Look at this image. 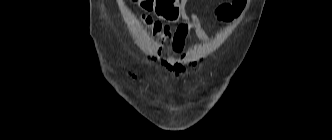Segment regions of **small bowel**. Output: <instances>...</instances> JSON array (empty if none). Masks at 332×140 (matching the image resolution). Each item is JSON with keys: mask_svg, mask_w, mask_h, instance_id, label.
Segmentation results:
<instances>
[{"mask_svg": "<svg viewBox=\"0 0 332 140\" xmlns=\"http://www.w3.org/2000/svg\"><path fill=\"white\" fill-rule=\"evenodd\" d=\"M188 0H180L178 17L181 19L180 24L175 31L168 34L158 36L163 44L166 56L162 59H157L159 64L167 71L178 76L183 74L184 63L183 54L187 38L193 32L201 41L208 42L210 38L205 32L204 25L196 13L188 14L185 11V4ZM163 18L162 16H159Z\"/></svg>", "mask_w": 332, "mask_h": 140, "instance_id": "small-bowel-1", "label": "small bowel"}]
</instances>
